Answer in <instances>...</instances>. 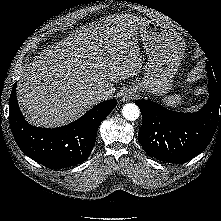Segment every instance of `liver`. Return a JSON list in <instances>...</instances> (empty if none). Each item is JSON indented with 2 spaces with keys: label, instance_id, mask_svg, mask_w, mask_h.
<instances>
[{
  "label": "liver",
  "instance_id": "liver-1",
  "mask_svg": "<svg viewBox=\"0 0 221 221\" xmlns=\"http://www.w3.org/2000/svg\"><path fill=\"white\" fill-rule=\"evenodd\" d=\"M140 23L128 14L81 27L37 55L17 85V100L29 123L59 127L98 103L91 93L111 98L118 83L138 74L141 55L135 38Z\"/></svg>",
  "mask_w": 221,
  "mask_h": 221
}]
</instances>
